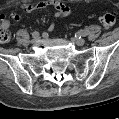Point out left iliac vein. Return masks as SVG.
I'll use <instances>...</instances> for the list:
<instances>
[{
  "instance_id": "obj_1",
  "label": "left iliac vein",
  "mask_w": 119,
  "mask_h": 119,
  "mask_svg": "<svg viewBox=\"0 0 119 119\" xmlns=\"http://www.w3.org/2000/svg\"><path fill=\"white\" fill-rule=\"evenodd\" d=\"M71 40L79 46H82L85 44V40L83 38L73 37L71 38Z\"/></svg>"
}]
</instances>
